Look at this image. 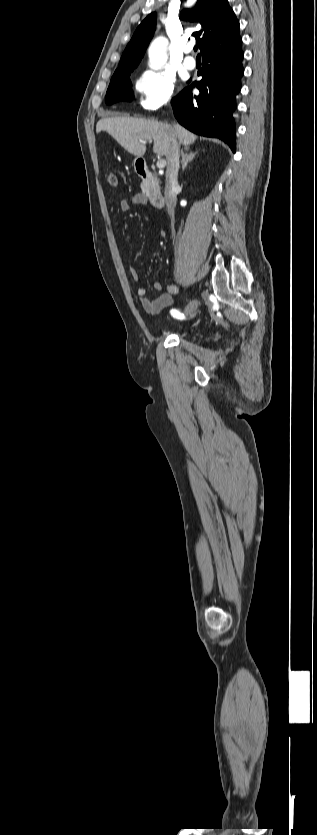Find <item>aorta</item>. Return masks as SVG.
<instances>
[{
    "instance_id": "obj_1",
    "label": "aorta",
    "mask_w": 317,
    "mask_h": 835,
    "mask_svg": "<svg viewBox=\"0 0 317 835\" xmlns=\"http://www.w3.org/2000/svg\"><path fill=\"white\" fill-rule=\"evenodd\" d=\"M168 40L159 36L153 40L149 47V66L152 69H160L167 61Z\"/></svg>"
}]
</instances>
